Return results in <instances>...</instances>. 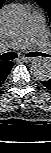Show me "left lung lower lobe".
Segmentation results:
<instances>
[{
	"instance_id": "0a47b994",
	"label": "left lung lower lobe",
	"mask_w": 51,
	"mask_h": 153,
	"mask_svg": "<svg viewBox=\"0 0 51 153\" xmlns=\"http://www.w3.org/2000/svg\"><path fill=\"white\" fill-rule=\"evenodd\" d=\"M41 83L49 90H51V79L47 81H41Z\"/></svg>"
}]
</instances>
